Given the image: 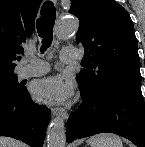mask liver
Returning <instances> with one entry per match:
<instances>
[{"mask_svg": "<svg viewBox=\"0 0 145 147\" xmlns=\"http://www.w3.org/2000/svg\"><path fill=\"white\" fill-rule=\"evenodd\" d=\"M0 147H26L22 142L9 137H0Z\"/></svg>", "mask_w": 145, "mask_h": 147, "instance_id": "1", "label": "liver"}]
</instances>
